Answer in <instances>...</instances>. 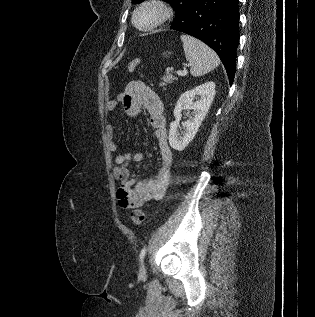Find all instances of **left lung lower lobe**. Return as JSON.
Segmentation results:
<instances>
[{
    "instance_id": "obj_1",
    "label": "left lung lower lobe",
    "mask_w": 315,
    "mask_h": 317,
    "mask_svg": "<svg viewBox=\"0 0 315 317\" xmlns=\"http://www.w3.org/2000/svg\"><path fill=\"white\" fill-rule=\"evenodd\" d=\"M171 28L210 46L219 55L232 85L240 38L238 0H194Z\"/></svg>"
}]
</instances>
